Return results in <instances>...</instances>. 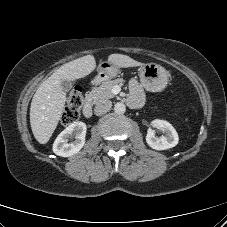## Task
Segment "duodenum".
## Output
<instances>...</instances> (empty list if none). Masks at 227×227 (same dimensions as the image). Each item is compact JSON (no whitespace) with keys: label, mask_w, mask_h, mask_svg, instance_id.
<instances>
[{"label":"duodenum","mask_w":227,"mask_h":227,"mask_svg":"<svg viewBox=\"0 0 227 227\" xmlns=\"http://www.w3.org/2000/svg\"><path fill=\"white\" fill-rule=\"evenodd\" d=\"M105 79V75L104 74H101L99 75L96 79H95V83H99L101 82L102 80ZM92 105H91V102L89 100H86L85 103H84V106H83V114L85 117L89 118L92 116Z\"/></svg>","instance_id":"1"}]
</instances>
